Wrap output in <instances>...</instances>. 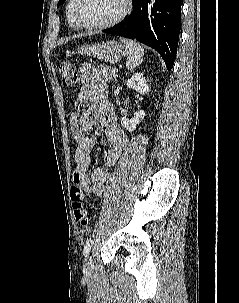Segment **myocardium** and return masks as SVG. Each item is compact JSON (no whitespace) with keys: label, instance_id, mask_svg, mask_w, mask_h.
<instances>
[{"label":"myocardium","instance_id":"f54148a6","mask_svg":"<svg viewBox=\"0 0 239 303\" xmlns=\"http://www.w3.org/2000/svg\"><path fill=\"white\" fill-rule=\"evenodd\" d=\"M80 3H81V0H74V4L72 7L73 17H74L76 23L80 27L89 29V30H102V29L113 27V26L119 24L120 22H122L130 14V12L132 10V0H124V8L117 17H115L114 19H112L108 22L99 23V24H89V23L84 22L82 20V18L80 17V14H79Z\"/></svg>","mask_w":239,"mask_h":303}]
</instances>
